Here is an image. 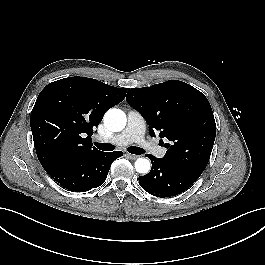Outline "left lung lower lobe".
Here are the masks:
<instances>
[{
    "label": "left lung lower lobe",
    "mask_w": 265,
    "mask_h": 265,
    "mask_svg": "<svg viewBox=\"0 0 265 265\" xmlns=\"http://www.w3.org/2000/svg\"><path fill=\"white\" fill-rule=\"evenodd\" d=\"M152 162L151 171L139 177L141 187L157 197H172L187 190L199 178L180 168L165 163L161 158L147 154Z\"/></svg>",
    "instance_id": "obj_1"
}]
</instances>
